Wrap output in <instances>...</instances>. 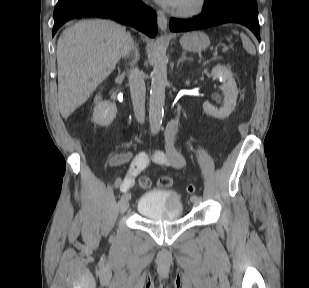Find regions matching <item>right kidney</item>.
Masks as SVG:
<instances>
[{"label": "right kidney", "mask_w": 309, "mask_h": 288, "mask_svg": "<svg viewBox=\"0 0 309 288\" xmlns=\"http://www.w3.org/2000/svg\"><path fill=\"white\" fill-rule=\"evenodd\" d=\"M95 107L93 110L92 120L100 126L109 125L116 117L117 107L114 103L102 101L101 96L95 97Z\"/></svg>", "instance_id": "right-kidney-1"}]
</instances>
